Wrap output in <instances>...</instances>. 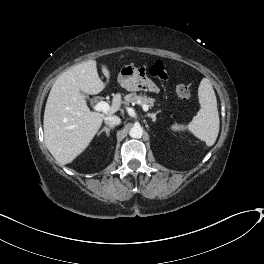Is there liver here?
Masks as SVG:
<instances>
[{"instance_id": "obj_1", "label": "liver", "mask_w": 264, "mask_h": 264, "mask_svg": "<svg viewBox=\"0 0 264 264\" xmlns=\"http://www.w3.org/2000/svg\"><path fill=\"white\" fill-rule=\"evenodd\" d=\"M107 78L104 83L97 72L95 60L82 62L63 72L53 84L44 112V142L55 158L65 165L71 163L90 144L103 119L121 107V94L114 95L107 113L92 112L83 94L100 93L108 84L110 71L102 65Z\"/></svg>"}]
</instances>
